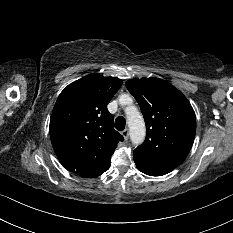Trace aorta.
<instances>
[{
    "mask_svg": "<svg viewBox=\"0 0 233 233\" xmlns=\"http://www.w3.org/2000/svg\"><path fill=\"white\" fill-rule=\"evenodd\" d=\"M127 96L122 95L120 102H122ZM127 123L130 130V139L134 145H140L146 135L145 123L142 115L134 108L133 110H126Z\"/></svg>",
    "mask_w": 233,
    "mask_h": 233,
    "instance_id": "aorta-1",
    "label": "aorta"
}]
</instances>
